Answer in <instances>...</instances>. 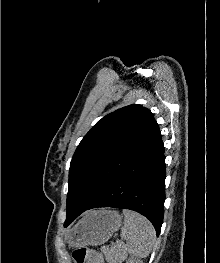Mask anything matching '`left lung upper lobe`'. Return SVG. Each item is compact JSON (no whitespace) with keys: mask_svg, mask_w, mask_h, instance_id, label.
Returning <instances> with one entry per match:
<instances>
[{"mask_svg":"<svg viewBox=\"0 0 220 263\" xmlns=\"http://www.w3.org/2000/svg\"><path fill=\"white\" fill-rule=\"evenodd\" d=\"M159 133L151 111L139 104L99 120L71 160L67 211L86 209Z\"/></svg>","mask_w":220,"mask_h":263,"instance_id":"5c2ea615","label":"left lung upper lobe"}]
</instances>
